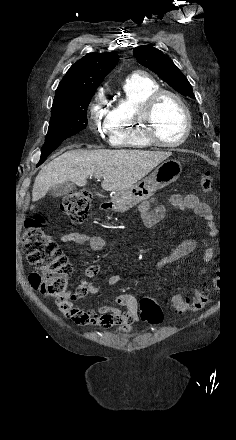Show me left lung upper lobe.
Listing matches in <instances>:
<instances>
[{
  "label": "left lung upper lobe",
  "instance_id": "1",
  "mask_svg": "<svg viewBox=\"0 0 236 440\" xmlns=\"http://www.w3.org/2000/svg\"><path fill=\"white\" fill-rule=\"evenodd\" d=\"M133 53L141 65L159 75L177 92L191 98L195 97L186 77L162 51L150 45H143L135 48Z\"/></svg>",
  "mask_w": 236,
  "mask_h": 440
}]
</instances>
